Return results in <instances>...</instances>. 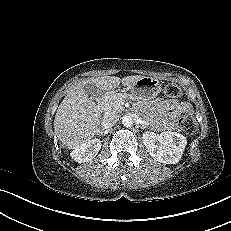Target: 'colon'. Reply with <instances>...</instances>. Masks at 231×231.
<instances>
[{"mask_svg":"<svg viewBox=\"0 0 231 231\" xmlns=\"http://www.w3.org/2000/svg\"><path fill=\"white\" fill-rule=\"evenodd\" d=\"M164 93L170 98H177L181 96L182 91L177 84L170 83L164 88ZM178 126L186 134H194L197 130V122L193 113L191 111L183 113L178 119Z\"/></svg>","mask_w":231,"mask_h":231,"instance_id":"obj_1","label":"colon"}]
</instances>
